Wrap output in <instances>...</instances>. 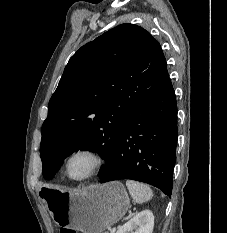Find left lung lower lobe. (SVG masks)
I'll list each match as a JSON object with an SVG mask.
<instances>
[{
    "label": "left lung lower lobe",
    "instance_id": "left-lung-lower-lobe-1",
    "mask_svg": "<svg viewBox=\"0 0 227 233\" xmlns=\"http://www.w3.org/2000/svg\"><path fill=\"white\" fill-rule=\"evenodd\" d=\"M177 137V103L168 78L131 115L100 182L131 179L151 184L170 196Z\"/></svg>",
    "mask_w": 227,
    "mask_h": 233
}]
</instances>
